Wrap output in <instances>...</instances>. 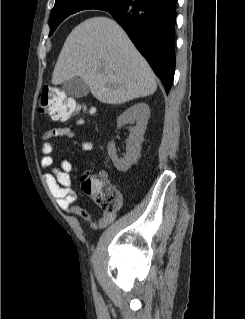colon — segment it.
I'll list each match as a JSON object with an SVG mask.
<instances>
[{
	"mask_svg": "<svg viewBox=\"0 0 245 319\" xmlns=\"http://www.w3.org/2000/svg\"><path fill=\"white\" fill-rule=\"evenodd\" d=\"M84 110L86 115H94L93 109H87L74 99L68 98L61 90L46 86L40 93L39 111L60 120H67L76 112ZM81 187L85 194L90 196L102 210L114 212L121 207V194L109 182L107 173L98 172L96 175H84L81 178Z\"/></svg>",
	"mask_w": 245,
	"mask_h": 319,
	"instance_id": "1",
	"label": "colon"
}]
</instances>
